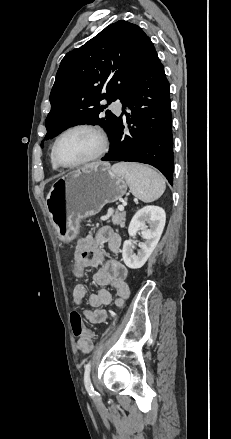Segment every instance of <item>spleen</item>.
Wrapping results in <instances>:
<instances>
[{
    "label": "spleen",
    "mask_w": 231,
    "mask_h": 439,
    "mask_svg": "<svg viewBox=\"0 0 231 439\" xmlns=\"http://www.w3.org/2000/svg\"><path fill=\"white\" fill-rule=\"evenodd\" d=\"M112 170L122 175L132 194L145 203L158 199L165 191V181L155 170L137 163H117Z\"/></svg>",
    "instance_id": "spleen-1"
}]
</instances>
